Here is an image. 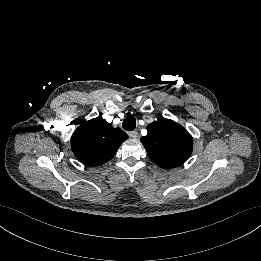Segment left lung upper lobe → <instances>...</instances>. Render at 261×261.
Instances as JSON below:
<instances>
[{"label": "left lung upper lobe", "instance_id": "5c2ea615", "mask_svg": "<svg viewBox=\"0 0 261 261\" xmlns=\"http://www.w3.org/2000/svg\"><path fill=\"white\" fill-rule=\"evenodd\" d=\"M147 131L140 141L149 158L158 166L174 168L190 157L193 139L180 124L170 119H158L147 126Z\"/></svg>", "mask_w": 261, "mask_h": 261}]
</instances>
